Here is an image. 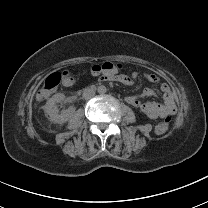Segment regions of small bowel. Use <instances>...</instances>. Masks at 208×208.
<instances>
[{
  "label": "small bowel",
  "instance_id": "small-bowel-1",
  "mask_svg": "<svg viewBox=\"0 0 208 208\" xmlns=\"http://www.w3.org/2000/svg\"><path fill=\"white\" fill-rule=\"evenodd\" d=\"M140 74L134 72L132 75H120V74H111L106 73L101 74L98 77L100 82H116L120 81L125 85H131ZM150 82H158L159 78L157 75L153 73H146L143 75ZM72 84L65 85L71 86ZM160 90L162 93V99L160 102L155 101H147L142 102L141 99L144 97H149L156 95V92L153 89L147 88L144 89L141 93L136 95H130L126 98V101L138 108L146 117L149 119H157V118H166L168 116L174 115L177 111V106L174 101V97L171 91L170 86L167 83H162L160 86Z\"/></svg>",
  "mask_w": 208,
  "mask_h": 208
}]
</instances>
